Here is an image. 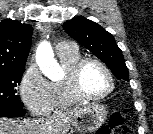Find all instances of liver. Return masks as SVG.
Masks as SVG:
<instances>
[{
    "mask_svg": "<svg viewBox=\"0 0 153 134\" xmlns=\"http://www.w3.org/2000/svg\"><path fill=\"white\" fill-rule=\"evenodd\" d=\"M82 110L83 108H74L62 111L48 120L19 121L0 118V134H65Z\"/></svg>",
    "mask_w": 153,
    "mask_h": 134,
    "instance_id": "liver-1",
    "label": "liver"
}]
</instances>
